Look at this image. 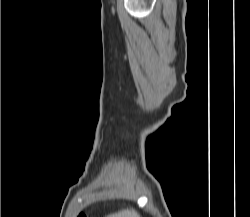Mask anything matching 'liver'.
Masks as SVG:
<instances>
[{
	"mask_svg": "<svg viewBox=\"0 0 250 217\" xmlns=\"http://www.w3.org/2000/svg\"><path fill=\"white\" fill-rule=\"evenodd\" d=\"M107 217H140L135 209H123L119 212L108 215Z\"/></svg>",
	"mask_w": 250,
	"mask_h": 217,
	"instance_id": "6515ba94",
	"label": "liver"
}]
</instances>
